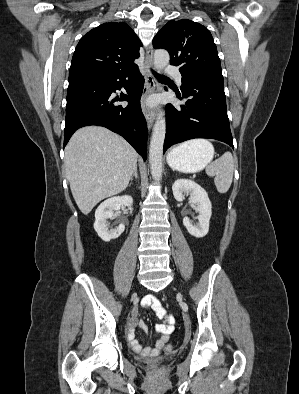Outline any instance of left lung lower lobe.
<instances>
[{
    "mask_svg": "<svg viewBox=\"0 0 299 394\" xmlns=\"http://www.w3.org/2000/svg\"><path fill=\"white\" fill-rule=\"evenodd\" d=\"M179 100L166 105V137L163 153L172 145L193 138H212L233 148L224 93L223 77L213 74L182 76Z\"/></svg>",
    "mask_w": 299,
    "mask_h": 394,
    "instance_id": "0a47b994",
    "label": "left lung lower lobe"
}]
</instances>
